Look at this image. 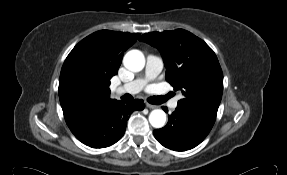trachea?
<instances>
[{"instance_id": "1", "label": "trachea", "mask_w": 287, "mask_h": 175, "mask_svg": "<svg viewBox=\"0 0 287 175\" xmlns=\"http://www.w3.org/2000/svg\"><path fill=\"white\" fill-rule=\"evenodd\" d=\"M170 97H172L171 94H168L166 96H153V97L148 98V102L151 104L159 105V104L164 103Z\"/></svg>"}]
</instances>
